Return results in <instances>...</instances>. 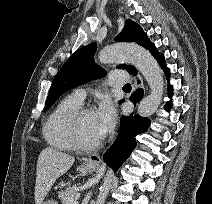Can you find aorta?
Masks as SVG:
<instances>
[{
	"label": "aorta",
	"mask_w": 212,
	"mask_h": 204,
	"mask_svg": "<svg viewBox=\"0 0 212 204\" xmlns=\"http://www.w3.org/2000/svg\"><path fill=\"white\" fill-rule=\"evenodd\" d=\"M98 59L103 64L119 61L132 63L142 73L151 90L150 94L139 103L138 114L149 117L158 109L164 91L163 73L149 51L134 44H114L103 48L98 54ZM112 175L113 171L110 169L104 177L96 204H104L109 193Z\"/></svg>",
	"instance_id": "762f6f07"
}]
</instances>
